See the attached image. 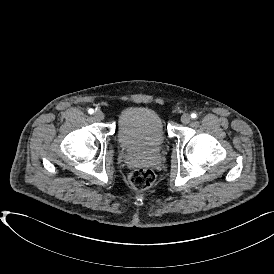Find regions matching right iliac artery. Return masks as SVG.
<instances>
[{"label":"right iliac artery","instance_id":"82829eb1","mask_svg":"<svg viewBox=\"0 0 274 274\" xmlns=\"http://www.w3.org/2000/svg\"><path fill=\"white\" fill-rule=\"evenodd\" d=\"M89 114H93L94 113V110L91 108L88 110Z\"/></svg>","mask_w":274,"mask_h":274}]
</instances>
